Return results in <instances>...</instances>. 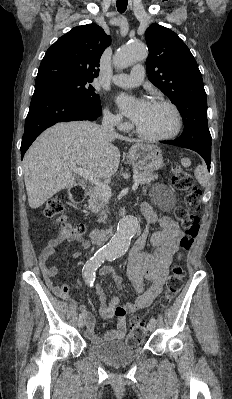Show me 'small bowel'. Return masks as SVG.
I'll return each mask as SVG.
<instances>
[{
  "label": "small bowel",
  "instance_id": "small-bowel-1",
  "mask_svg": "<svg viewBox=\"0 0 232 399\" xmlns=\"http://www.w3.org/2000/svg\"><path fill=\"white\" fill-rule=\"evenodd\" d=\"M142 210L148 218L150 224H158L160 230L148 236V231L144 230L136 237L134 245L128 256V266L126 275L132 285L133 290L139 295L144 289L143 278L150 281L148 290L141 296L139 295L133 304L120 305L117 297H113L107 304L106 294L100 285H96V293L101 304L100 315L103 318H110L113 315L119 317V326L117 331H107L103 334L95 332L96 322L95 314L86 306H80V311L84 314L78 328L94 345H102L103 338H106L111 345H119L121 337L127 332L128 327L125 320V314L130 311L152 307L161 293L167 277L168 267L175 259L178 252L179 241L182 238V232L177 224L172 220L158 221L153 206L148 202L142 203ZM147 242H150L154 250L150 253H144L143 248ZM47 257H53L57 254V242L50 241L48 244ZM82 248L90 249L89 242H82ZM73 259L81 258L80 252H74ZM55 270L47 272L48 280L54 274ZM101 276H107L115 280L119 293L125 291V284L110 267H104L100 270ZM49 286L52 287L49 281Z\"/></svg>",
  "mask_w": 232,
  "mask_h": 399
}]
</instances>
